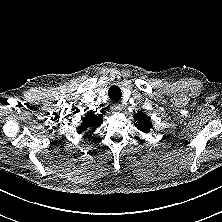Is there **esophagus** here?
I'll list each match as a JSON object with an SVG mask.
<instances>
[{"instance_id":"esophagus-1","label":"esophagus","mask_w":222,"mask_h":222,"mask_svg":"<svg viewBox=\"0 0 222 222\" xmlns=\"http://www.w3.org/2000/svg\"><path fill=\"white\" fill-rule=\"evenodd\" d=\"M121 109H122V107H121V104H119V103H115V104H113V105L111 106V110H112L114 113L120 112Z\"/></svg>"}]
</instances>
